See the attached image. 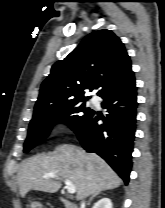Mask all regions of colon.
Returning a JSON list of instances; mask_svg holds the SVG:
<instances>
[{
    "instance_id": "1",
    "label": "colon",
    "mask_w": 165,
    "mask_h": 208,
    "mask_svg": "<svg viewBox=\"0 0 165 208\" xmlns=\"http://www.w3.org/2000/svg\"><path fill=\"white\" fill-rule=\"evenodd\" d=\"M29 208H44L43 204L37 200H31L29 203Z\"/></svg>"
}]
</instances>
